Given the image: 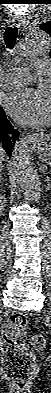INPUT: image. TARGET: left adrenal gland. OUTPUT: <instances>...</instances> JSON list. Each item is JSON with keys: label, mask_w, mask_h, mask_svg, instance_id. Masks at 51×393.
Returning <instances> with one entry per match:
<instances>
[{"label": "left adrenal gland", "mask_w": 51, "mask_h": 393, "mask_svg": "<svg viewBox=\"0 0 51 393\" xmlns=\"http://www.w3.org/2000/svg\"><path fill=\"white\" fill-rule=\"evenodd\" d=\"M48 183H49V184H48V187H47V189H50V182H49V180H48Z\"/></svg>", "instance_id": "obj_1"}]
</instances>
